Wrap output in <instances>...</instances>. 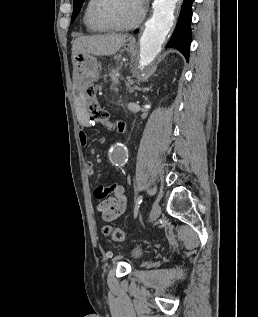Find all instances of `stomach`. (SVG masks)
<instances>
[{
	"mask_svg": "<svg viewBox=\"0 0 258 317\" xmlns=\"http://www.w3.org/2000/svg\"><path fill=\"white\" fill-rule=\"evenodd\" d=\"M123 46L127 52H133L135 48L134 38H127V40L123 42ZM72 60L78 74H81V72H87V74H97V58H95L93 54H90V52H77V54L73 56Z\"/></svg>",
	"mask_w": 258,
	"mask_h": 317,
	"instance_id": "stomach-1",
	"label": "stomach"
}]
</instances>
